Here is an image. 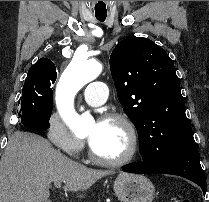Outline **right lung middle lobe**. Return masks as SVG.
<instances>
[{"mask_svg":"<svg viewBox=\"0 0 209 202\" xmlns=\"http://www.w3.org/2000/svg\"><path fill=\"white\" fill-rule=\"evenodd\" d=\"M56 75H35L25 79L22 97L19 100L21 121L48 122L52 113L53 87Z\"/></svg>","mask_w":209,"mask_h":202,"instance_id":"1","label":"right lung middle lobe"}]
</instances>
